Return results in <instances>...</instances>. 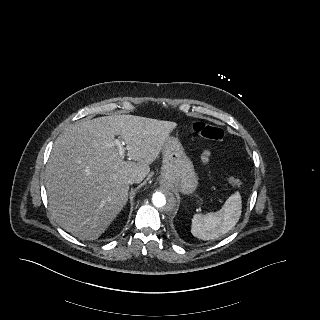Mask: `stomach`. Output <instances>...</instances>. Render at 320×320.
<instances>
[{
  "label": "stomach",
  "mask_w": 320,
  "mask_h": 320,
  "mask_svg": "<svg viewBox=\"0 0 320 320\" xmlns=\"http://www.w3.org/2000/svg\"><path fill=\"white\" fill-rule=\"evenodd\" d=\"M162 157L160 183L183 194L194 193L198 185L197 174L178 138L168 136L162 148Z\"/></svg>",
  "instance_id": "obj_1"
}]
</instances>
